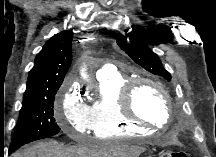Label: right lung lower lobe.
Instances as JSON below:
<instances>
[{
    "instance_id": "obj_1",
    "label": "right lung lower lobe",
    "mask_w": 216,
    "mask_h": 157,
    "mask_svg": "<svg viewBox=\"0 0 216 157\" xmlns=\"http://www.w3.org/2000/svg\"><path fill=\"white\" fill-rule=\"evenodd\" d=\"M13 151H14V149H10V150H9V153H12Z\"/></svg>"
}]
</instances>
